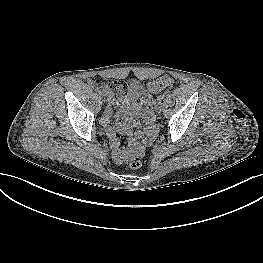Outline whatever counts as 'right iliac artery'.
<instances>
[{
  "label": "right iliac artery",
  "instance_id": "right-iliac-artery-1",
  "mask_svg": "<svg viewBox=\"0 0 263 263\" xmlns=\"http://www.w3.org/2000/svg\"><path fill=\"white\" fill-rule=\"evenodd\" d=\"M95 92H96L97 94H102V93H103V90L100 89V88H96V89H95Z\"/></svg>",
  "mask_w": 263,
  "mask_h": 263
}]
</instances>
